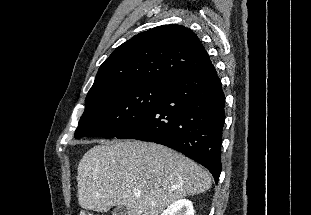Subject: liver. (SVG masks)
Listing matches in <instances>:
<instances>
[{
    "instance_id": "1",
    "label": "liver",
    "mask_w": 311,
    "mask_h": 215,
    "mask_svg": "<svg viewBox=\"0 0 311 215\" xmlns=\"http://www.w3.org/2000/svg\"><path fill=\"white\" fill-rule=\"evenodd\" d=\"M77 174L79 205L102 213L118 206L128 215H159L172 202L211 187L210 174L188 157L130 140L94 146L81 158Z\"/></svg>"
}]
</instances>
